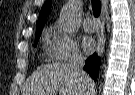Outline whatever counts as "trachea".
Masks as SVG:
<instances>
[{
  "label": "trachea",
  "mask_w": 135,
  "mask_h": 95,
  "mask_svg": "<svg viewBox=\"0 0 135 95\" xmlns=\"http://www.w3.org/2000/svg\"><path fill=\"white\" fill-rule=\"evenodd\" d=\"M92 10L95 17H98L101 12V2L100 0H91Z\"/></svg>",
  "instance_id": "obj_1"
}]
</instances>
